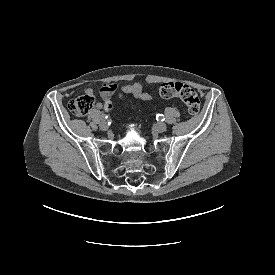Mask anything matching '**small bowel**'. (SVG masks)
I'll return each instance as SVG.
<instances>
[{"label":"small bowel","instance_id":"obj_1","mask_svg":"<svg viewBox=\"0 0 275 275\" xmlns=\"http://www.w3.org/2000/svg\"><path fill=\"white\" fill-rule=\"evenodd\" d=\"M118 88V85L114 82L104 83L101 86L100 89V96L101 98L106 101L110 98V96L113 95L115 90ZM121 91L125 94H131L135 99L143 100V101H149L152 99V95L146 91H144L143 86L139 82H131L128 84H124L121 87ZM85 93L87 95H92L93 90L91 88H87L85 90ZM103 104L101 102H98L96 104L97 109H102Z\"/></svg>","mask_w":275,"mask_h":275}]
</instances>
